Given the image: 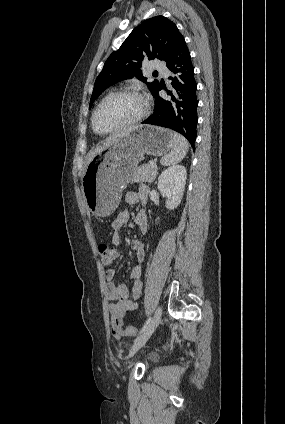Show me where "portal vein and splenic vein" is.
Masks as SVG:
<instances>
[{"mask_svg": "<svg viewBox=\"0 0 285 424\" xmlns=\"http://www.w3.org/2000/svg\"><path fill=\"white\" fill-rule=\"evenodd\" d=\"M155 162L154 161H150V164L153 165Z\"/></svg>", "mask_w": 285, "mask_h": 424, "instance_id": "portal-vein-and-splenic-vein-1", "label": "portal vein and splenic vein"}]
</instances>
